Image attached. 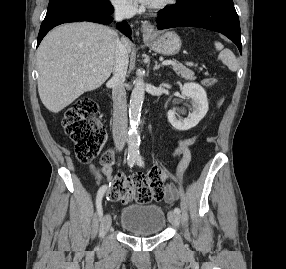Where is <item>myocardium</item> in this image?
Here are the masks:
<instances>
[{
  "mask_svg": "<svg viewBox=\"0 0 286 269\" xmlns=\"http://www.w3.org/2000/svg\"><path fill=\"white\" fill-rule=\"evenodd\" d=\"M175 2H176V0H162L156 4L151 5L150 9L152 11H161V10H164V9L170 7Z\"/></svg>",
  "mask_w": 286,
  "mask_h": 269,
  "instance_id": "myocardium-1",
  "label": "myocardium"
}]
</instances>
